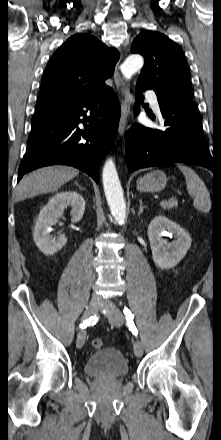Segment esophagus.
I'll return each instance as SVG.
<instances>
[{"mask_svg": "<svg viewBox=\"0 0 221 440\" xmlns=\"http://www.w3.org/2000/svg\"><path fill=\"white\" fill-rule=\"evenodd\" d=\"M114 79H115V83H116L117 88L120 89L122 96H123V99L121 102V117H120L119 128H118L120 136H123L125 129H126L127 119L130 114V107H131V103H132L133 98L129 92L128 87L126 86L125 82L123 81V79L120 75L118 65H117V68L115 71Z\"/></svg>", "mask_w": 221, "mask_h": 440, "instance_id": "esophagus-1", "label": "esophagus"}]
</instances>
